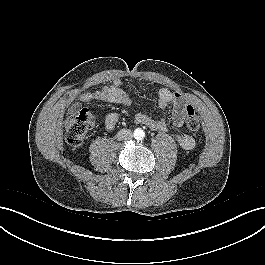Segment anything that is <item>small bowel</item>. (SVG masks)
Wrapping results in <instances>:
<instances>
[{"mask_svg": "<svg viewBox=\"0 0 265 265\" xmlns=\"http://www.w3.org/2000/svg\"><path fill=\"white\" fill-rule=\"evenodd\" d=\"M77 97L83 103L101 101L124 106L131 103V98L124 91L120 79H115L110 85L100 87L97 90L80 93ZM158 106L163 113L161 118L156 119L139 113L135 116V122L161 132L167 129L169 121L176 127H182L186 117L185 110L187 106H190V100L183 93L171 91L168 88H161L158 91ZM117 121V114H110L105 120V128L112 130ZM175 138L178 144L185 150H190L194 147V139L187 133H178Z\"/></svg>", "mask_w": 265, "mask_h": 265, "instance_id": "small-bowel-1", "label": "small bowel"}]
</instances>
